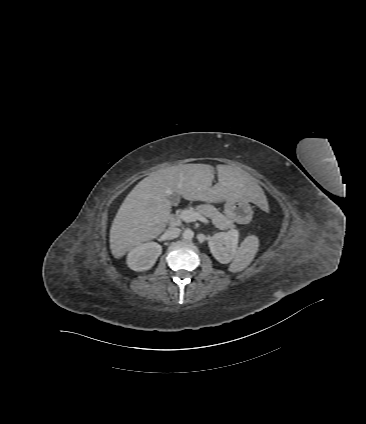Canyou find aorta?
<instances>
[{
	"mask_svg": "<svg viewBox=\"0 0 366 424\" xmlns=\"http://www.w3.org/2000/svg\"><path fill=\"white\" fill-rule=\"evenodd\" d=\"M194 237V232L191 229H186L183 232V238L185 240H191Z\"/></svg>",
	"mask_w": 366,
	"mask_h": 424,
	"instance_id": "aorta-1",
	"label": "aorta"
}]
</instances>
